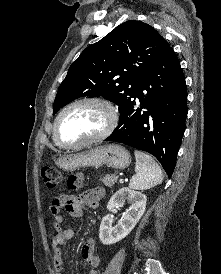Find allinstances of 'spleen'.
Listing matches in <instances>:
<instances>
[{"label":"spleen","mask_w":221,"mask_h":274,"mask_svg":"<svg viewBox=\"0 0 221 274\" xmlns=\"http://www.w3.org/2000/svg\"><path fill=\"white\" fill-rule=\"evenodd\" d=\"M134 154L136 174L132 176L129 187L136 190H147L161 184L163 181L162 171L151 156L138 150H135Z\"/></svg>","instance_id":"3e777b00"}]
</instances>
